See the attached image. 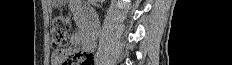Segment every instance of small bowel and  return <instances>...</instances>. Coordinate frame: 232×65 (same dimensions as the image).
Returning a JSON list of instances; mask_svg holds the SVG:
<instances>
[{
	"label": "small bowel",
	"instance_id": "obj_1",
	"mask_svg": "<svg viewBox=\"0 0 232 65\" xmlns=\"http://www.w3.org/2000/svg\"><path fill=\"white\" fill-rule=\"evenodd\" d=\"M71 42L73 44H79L81 42V36L79 34H75L71 38Z\"/></svg>",
	"mask_w": 232,
	"mask_h": 65
}]
</instances>
